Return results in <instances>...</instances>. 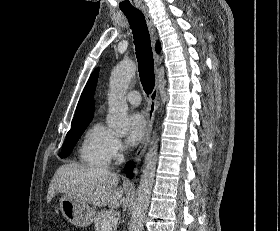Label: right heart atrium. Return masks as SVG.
Segmentation results:
<instances>
[{"label": "right heart atrium", "mask_w": 280, "mask_h": 231, "mask_svg": "<svg viewBox=\"0 0 280 231\" xmlns=\"http://www.w3.org/2000/svg\"><path fill=\"white\" fill-rule=\"evenodd\" d=\"M123 151L124 147L121 140L115 136H111L109 142V152L111 159H117L122 155Z\"/></svg>", "instance_id": "d8ad5b80"}]
</instances>
